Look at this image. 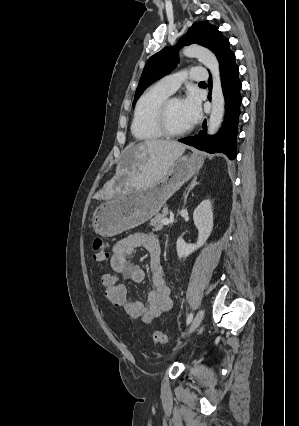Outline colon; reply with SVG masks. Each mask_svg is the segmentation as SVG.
<instances>
[{"label": "colon", "mask_w": 299, "mask_h": 426, "mask_svg": "<svg viewBox=\"0 0 299 426\" xmlns=\"http://www.w3.org/2000/svg\"><path fill=\"white\" fill-rule=\"evenodd\" d=\"M93 259L98 263H105L109 257L108 245L102 238H95L92 244ZM104 287L105 297L116 307H123L127 300L126 286L121 283L114 274L104 273L101 277ZM153 340L157 344H168L169 336L163 332L156 331L153 333Z\"/></svg>", "instance_id": "colon-1"}]
</instances>
